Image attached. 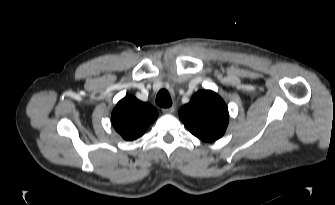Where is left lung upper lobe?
I'll list each match as a JSON object with an SVG mask.
<instances>
[{"label":"left lung upper lobe","instance_id":"left-lung-upper-lobe-1","mask_svg":"<svg viewBox=\"0 0 335 205\" xmlns=\"http://www.w3.org/2000/svg\"><path fill=\"white\" fill-rule=\"evenodd\" d=\"M179 117L190 132L203 141L221 138L229 121L225 102L210 90L195 93L180 109Z\"/></svg>","mask_w":335,"mask_h":205}]
</instances>
